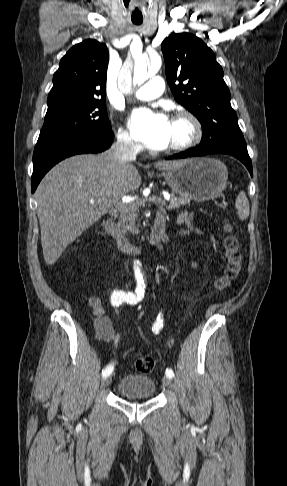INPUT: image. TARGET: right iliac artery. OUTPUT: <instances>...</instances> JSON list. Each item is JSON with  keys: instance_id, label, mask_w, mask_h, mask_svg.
<instances>
[{"instance_id": "right-iliac-artery-1", "label": "right iliac artery", "mask_w": 287, "mask_h": 486, "mask_svg": "<svg viewBox=\"0 0 287 486\" xmlns=\"http://www.w3.org/2000/svg\"><path fill=\"white\" fill-rule=\"evenodd\" d=\"M135 293H136V295L133 292L126 293L123 290L114 291L111 295V304L114 307L115 306L118 307L119 305H121L125 301L131 300V299L134 300V298L136 296L139 297V299L137 301H140L144 297V288L138 287L135 290ZM112 371H113V365L110 364L104 370H102V376L107 377L112 373Z\"/></svg>"}]
</instances>
